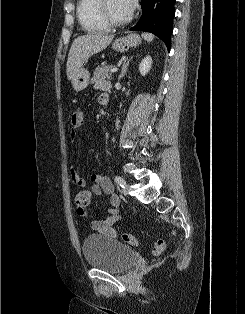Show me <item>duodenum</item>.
<instances>
[{
    "label": "duodenum",
    "mask_w": 245,
    "mask_h": 314,
    "mask_svg": "<svg viewBox=\"0 0 245 314\" xmlns=\"http://www.w3.org/2000/svg\"><path fill=\"white\" fill-rule=\"evenodd\" d=\"M101 99L103 101L107 102V95L106 94L101 95Z\"/></svg>",
    "instance_id": "410a0bca"
}]
</instances>
